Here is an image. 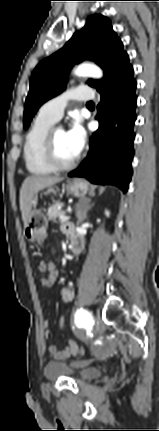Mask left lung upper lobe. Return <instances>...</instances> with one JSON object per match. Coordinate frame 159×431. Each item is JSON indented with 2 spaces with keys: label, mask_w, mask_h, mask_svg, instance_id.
Wrapping results in <instances>:
<instances>
[{
  "label": "left lung upper lobe",
  "mask_w": 159,
  "mask_h": 431,
  "mask_svg": "<svg viewBox=\"0 0 159 431\" xmlns=\"http://www.w3.org/2000/svg\"><path fill=\"white\" fill-rule=\"evenodd\" d=\"M95 61L103 70L104 78L88 80V85L100 91L122 68L129 65L123 44L113 31L109 19L102 15L88 18L85 27L76 32L63 48L42 60L32 73L30 89L26 97L24 128H28L33 116L49 99L61 93L67 85L71 67L83 60Z\"/></svg>",
  "instance_id": "left-lung-upper-lobe-1"
}]
</instances>
